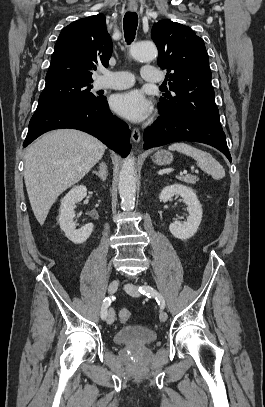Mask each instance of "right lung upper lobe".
<instances>
[{"mask_svg":"<svg viewBox=\"0 0 265 407\" xmlns=\"http://www.w3.org/2000/svg\"><path fill=\"white\" fill-rule=\"evenodd\" d=\"M112 49L103 14L79 19L61 31L46 81L93 82L92 70L96 69V64L108 66Z\"/></svg>","mask_w":265,"mask_h":407,"instance_id":"obj_1","label":"right lung upper lobe"}]
</instances>
